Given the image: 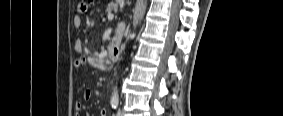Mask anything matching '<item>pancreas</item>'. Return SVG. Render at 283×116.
I'll use <instances>...</instances> for the list:
<instances>
[{
  "label": "pancreas",
  "instance_id": "1",
  "mask_svg": "<svg viewBox=\"0 0 283 116\" xmlns=\"http://www.w3.org/2000/svg\"><path fill=\"white\" fill-rule=\"evenodd\" d=\"M117 6V3H110L106 9V12L110 14L112 11H115L117 9Z\"/></svg>",
  "mask_w": 283,
  "mask_h": 116
}]
</instances>
